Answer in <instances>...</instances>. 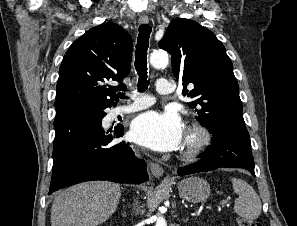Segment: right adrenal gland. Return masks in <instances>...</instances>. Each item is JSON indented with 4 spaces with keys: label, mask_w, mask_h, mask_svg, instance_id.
<instances>
[{
    "label": "right adrenal gland",
    "mask_w": 297,
    "mask_h": 226,
    "mask_svg": "<svg viewBox=\"0 0 297 226\" xmlns=\"http://www.w3.org/2000/svg\"><path fill=\"white\" fill-rule=\"evenodd\" d=\"M123 201H124V199H123ZM122 216L126 217V216H127V215H126V212H124V213L122 214Z\"/></svg>",
    "instance_id": "1"
}]
</instances>
